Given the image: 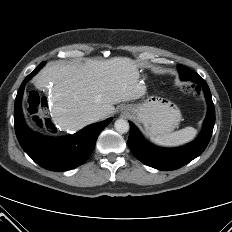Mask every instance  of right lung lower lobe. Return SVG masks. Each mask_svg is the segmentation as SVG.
Wrapping results in <instances>:
<instances>
[{
    "mask_svg": "<svg viewBox=\"0 0 232 232\" xmlns=\"http://www.w3.org/2000/svg\"><path fill=\"white\" fill-rule=\"evenodd\" d=\"M40 64L22 82L14 108V126L17 139L23 150L40 166L51 171H65L82 165L91 155L100 132L111 122L107 119L87 126L66 137H46L33 132L26 125L21 100L26 82L42 67Z\"/></svg>",
    "mask_w": 232,
    "mask_h": 232,
    "instance_id": "right-lung-lower-lobe-1",
    "label": "right lung lower lobe"
}]
</instances>
